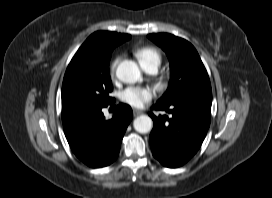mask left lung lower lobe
<instances>
[{
	"instance_id": "obj_1",
	"label": "left lung lower lobe",
	"mask_w": 272,
	"mask_h": 198,
	"mask_svg": "<svg viewBox=\"0 0 272 198\" xmlns=\"http://www.w3.org/2000/svg\"><path fill=\"white\" fill-rule=\"evenodd\" d=\"M152 109L164 110L171 117L152 112L154 127L150 145L154 157L165 167L176 168L185 164L198 151L207 134L211 104L195 101L156 103Z\"/></svg>"
}]
</instances>
